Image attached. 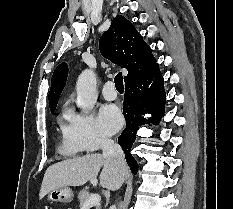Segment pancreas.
I'll return each mask as SVG.
<instances>
[{"label": "pancreas", "instance_id": "obj_1", "mask_svg": "<svg viewBox=\"0 0 233 209\" xmlns=\"http://www.w3.org/2000/svg\"><path fill=\"white\" fill-rule=\"evenodd\" d=\"M90 196H91V193H89L86 190H82V191L79 192L78 200H79V203H80V207H83V205L89 199ZM95 209H100V205H95Z\"/></svg>", "mask_w": 233, "mask_h": 209}]
</instances>
